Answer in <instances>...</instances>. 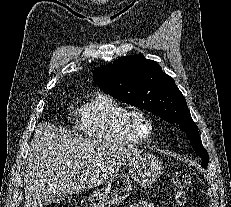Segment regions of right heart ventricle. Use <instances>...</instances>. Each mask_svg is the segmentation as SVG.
I'll use <instances>...</instances> for the list:
<instances>
[{
	"label": "right heart ventricle",
	"mask_w": 231,
	"mask_h": 207,
	"mask_svg": "<svg viewBox=\"0 0 231 207\" xmlns=\"http://www.w3.org/2000/svg\"><path fill=\"white\" fill-rule=\"evenodd\" d=\"M128 108L112 96L97 92L73 110L78 130L85 136L109 142L137 144L130 132L126 113Z\"/></svg>",
	"instance_id": "1"
}]
</instances>
